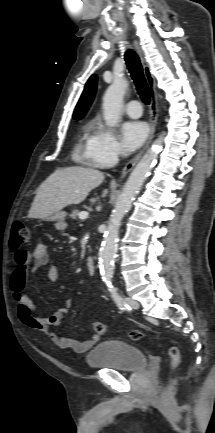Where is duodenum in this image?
Masks as SVG:
<instances>
[{
    "label": "duodenum",
    "instance_id": "1",
    "mask_svg": "<svg viewBox=\"0 0 215 433\" xmlns=\"http://www.w3.org/2000/svg\"><path fill=\"white\" fill-rule=\"evenodd\" d=\"M85 264H86V268H87L88 272L91 275H95L96 274V266H95L94 259L92 257H87Z\"/></svg>",
    "mask_w": 215,
    "mask_h": 433
}]
</instances>
